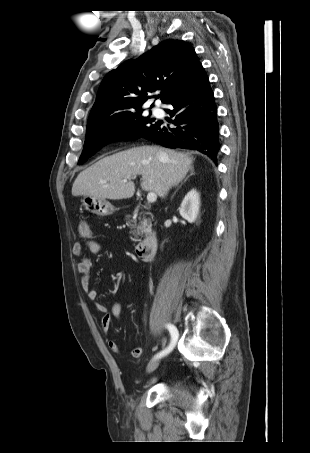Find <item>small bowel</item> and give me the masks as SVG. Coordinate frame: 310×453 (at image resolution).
<instances>
[{
	"mask_svg": "<svg viewBox=\"0 0 310 453\" xmlns=\"http://www.w3.org/2000/svg\"><path fill=\"white\" fill-rule=\"evenodd\" d=\"M87 245L92 253H98L100 250V245L95 241L88 240ZM72 252L76 257L80 258V261L77 265V271L80 275V285H81L83 291L85 292V294L87 295V297L92 301H96L98 298L97 290L92 288L90 285V271H91L93 263L90 259L82 257L83 246L81 243L76 242L72 247ZM95 307H96V310L102 315L101 320H100L102 330L105 333H107L110 329L112 320L120 318L121 313H122V306H121L120 302L115 301L112 304L110 312H108L106 306L103 303L96 302ZM108 347L114 353L120 352L119 345L113 340H110L108 342ZM141 355H142L141 347H135L132 350V356L134 358H140Z\"/></svg>",
	"mask_w": 310,
	"mask_h": 453,
	"instance_id": "small-bowel-1",
	"label": "small bowel"
}]
</instances>
